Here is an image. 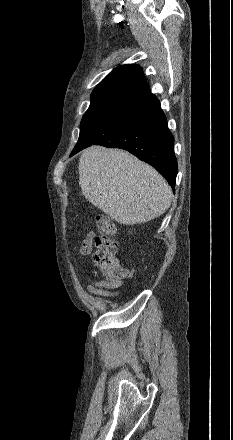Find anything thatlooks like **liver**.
Returning <instances> with one entry per match:
<instances>
[{
  "mask_svg": "<svg viewBox=\"0 0 233 440\" xmlns=\"http://www.w3.org/2000/svg\"><path fill=\"white\" fill-rule=\"evenodd\" d=\"M79 184L86 200L124 225L151 221L172 201L166 180L120 149L84 150L79 159Z\"/></svg>",
  "mask_w": 233,
  "mask_h": 440,
  "instance_id": "obj_1",
  "label": "liver"
}]
</instances>
